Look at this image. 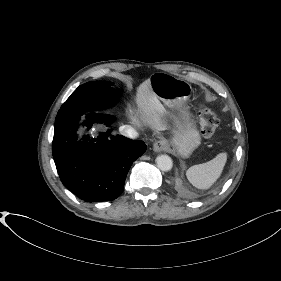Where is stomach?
Masks as SVG:
<instances>
[{
    "label": "stomach",
    "instance_id": "obj_1",
    "mask_svg": "<svg viewBox=\"0 0 281 281\" xmlns=\"http://www.w3.org/2000/svg\"><path fill=\"white\" fill-rule=\"evenodd\" d=\"M149 81L158 99L169 107L178 106L189 97L190 85L183 79L156 72L151 75ZM167 144L180 155L187 157L200 145V135L193 123L186 119Z\"/></svg>",
    "mask_w": 281,
    "mask_h": 281
}]
</instances>
